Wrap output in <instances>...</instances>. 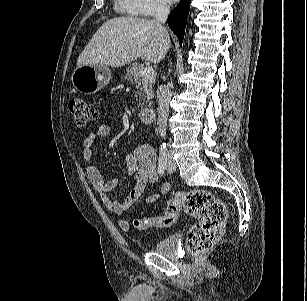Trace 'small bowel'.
<instances>
[{"mask_svg": "<svg viewBox=\"0 0 307 301\" xmlns=\"http://www.w3.org/2000/svg\"><path fill=\"white\" fill-rule=\"evenodd\" d=\"M111 126L102 124L97 130L89 132L82 143V156L89 163L86 169L87 178L91 185L100 194L105 207L118 216V225L124 232L130 229V222L123 216L134 203L142 196L148 183L159 181L156 155L153 148L148 144L138 146L133 152L125 153L124 161L129 174L136 175V185L123 202H118L110 196V192L118 185V179L113 178L105 181L96 166L90 164L93 160V147L98 139L110 136ZM170 186L161 183L159 189L145 197L146 204H153L158 198L168 194Z\"/></svg>", "mask_w": 307, "mask_h": 301, "instance_id": "1", "label": "small bowel"}]
</instances>
